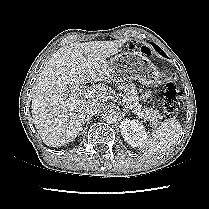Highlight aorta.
Masks as SVG:
<instances>
[{
  "mask_svg": "<svg viewBox=\"0 0 209 209\" xmlns=\"http://www.w3.org/2000/svg\"><path fill=\"white\" fill-rule=\"evenodd\" d=\"M102 118L106 123L112 124L119 119V113L114 109H109L104 111V113L102 114Z\"/></svg>",
  "mask_w": 209,
  "mask_h": 209,
  "instance_id": "aorta-1",
  "label": "aorta"
}]
</instances>
